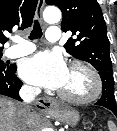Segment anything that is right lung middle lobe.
<instances>
[{
  "label": "right lung middle lobe",
  "instance_id": "right-lung-middle-lobe-1",
  "mask_svg": "<svg viewBox=\"0 0 117 131\" xmlns=\"http://www.w3.org/2000/svg\"><path fill=\"white\" fill-rule=\"evenodd\" d=\"M2 56V52H0V58ZM7 69V66L4 64V62L0 59V72H4Z\"/></svg>",
  "mask_w": 117,
  "mask_h": 131
}]
</instances>
